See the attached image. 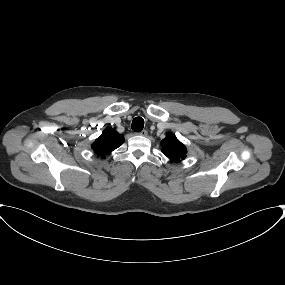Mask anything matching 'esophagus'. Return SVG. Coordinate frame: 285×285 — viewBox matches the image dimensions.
Listing matches in <instances>:
<instances>
[{"mask_svg":"<svg viewBox=\"0 0 285 285\" xmlns=\"http://www.w3.org/2000/svg\"><path fill=\"white\" fill-rule=\"evenodd\" d=\"M141 136H147L148 132L146 130H143L141 132L138 133Z\"/></svg>","mask_w":285,"mask_h":285,"instance_id":"34e87169","label":"esophagus"}]
</instances>
